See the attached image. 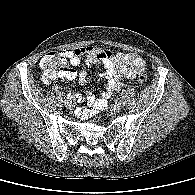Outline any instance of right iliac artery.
I'll return each instance as SVG.
<instances>
[{
    "label": "right iliac artery",
    "mask_w": 195,
    "mask_h": 195,
    "mask_svg": "<svg viewBox=\"0 0 195 195\" xmlns=\"http://www.w3.org/2000/svg\"><path fill=\"white\" fill-rule=\"evenodd\" d=\"M67 98H68V99L73 98V96L71 95V93L67 94Z\"/></svg>",
    "instance_id": "right-iliac-artery-1"
}]
</instances>
